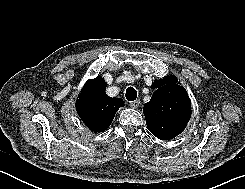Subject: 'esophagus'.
Masks as SVG:
<instances>
[{
	"mask_svg": "<svg viewBox=\"0 0 245 189\" xmlns=\"http://www.w3.org/2000/svg\"><path fill=\"white\" fill-rule=\"evenodd\" d=\"M129 105H130L132 108H137V107L140 105V100L137 99V100L131 101V102L129 103Z\"/></svg>",
	"mask_w": 245,
	"mask_h": 189,
	"instance_id": "obj_1",
	"label": "esophagus"
}]
</instances>
